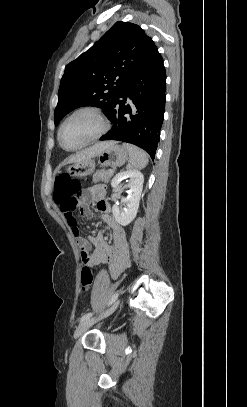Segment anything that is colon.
Instances as JSON below:
<instances>
[{
  "label": "colon",
  "instance_id": "1",
  "mask_svg": "<svg viewBox=\"0 0 247 407\" xmlns=\"http://www.w3.org/2000/svg\"><path fill=\"white\" fill-rule=\"evenodd\" d=\"M81 190V182L71 177L69 174H59L54 182L53 198L57 203H63L74 199ZM94 281L93 270L90 266H84L81 270V287L83 291H88Z\"/></svg>",
  "mask_w": 247,
  "mask_h": 407
}]
</instances>
